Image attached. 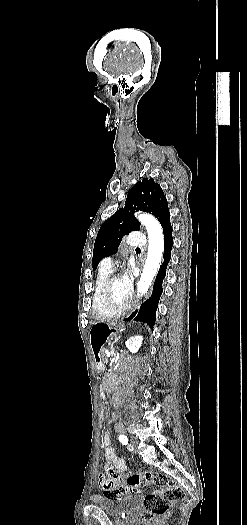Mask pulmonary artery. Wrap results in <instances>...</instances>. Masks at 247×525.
Segmentation results:
<instances>
[{"label": "pulmonary artery", "mask_w": 247, "mask_h": 525, "mask_svg": "<svg viewBox=\"0 0 247 525\" xmlns=\"http://www.w3.org/2000/svg\"><path fill=\"white\" fill-rule=\"evenodd\" d=\"M146 242L145 236H125L123 243L131 248L143 246Z\"/></svg>", "instance_id": "pulmonary-artery-1"}]
</instances>
